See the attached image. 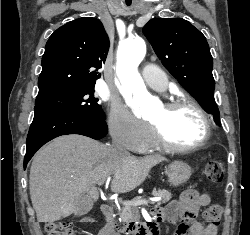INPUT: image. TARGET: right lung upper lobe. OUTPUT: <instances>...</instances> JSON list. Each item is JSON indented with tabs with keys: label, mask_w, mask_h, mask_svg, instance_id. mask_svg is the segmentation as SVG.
Segmentation results:
<instances>
[{
	"label": "right lung upper lobe",
	"mask_w": 250,
	"mask_h": 235,
	"mask_svg": "<svg viewBox=\"0 0 250 235\" xmlns=\"http://www.w3.org/2000/svg\"><path fill=\"white\" fill-rule=\"evenodd\" d=\"M109 44L96 18L82 17L58 28L45 46L37 97L95 85Z\"/></svg>",
	"instance_id": "right-lung-upper-lobe-1"
}]
</instances>
